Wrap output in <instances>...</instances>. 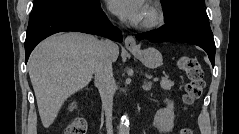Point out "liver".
<instances>
[{"instance_id":"liver-1","label":"liver","mask_w":239,"mask_h":134,"mask_svg":"<svg viewBox=\"0 0 239 134\" xmlns=\"http://www.w3.org/2000/svg\"><path fill=\"white\" fill-rule=\"evenodd\" d=\"M101 41L77 32L56 34L42 41L28 61L30 80L37 100L41 122L48 128L65 100L89 84L94 72V53ZM112 61L119 48L112 44Z\"/></svg>"}]
</instances>
